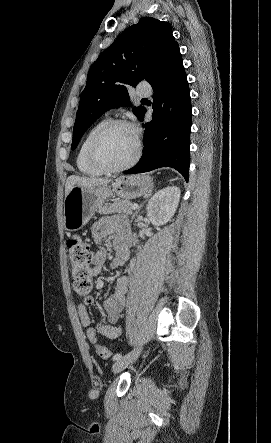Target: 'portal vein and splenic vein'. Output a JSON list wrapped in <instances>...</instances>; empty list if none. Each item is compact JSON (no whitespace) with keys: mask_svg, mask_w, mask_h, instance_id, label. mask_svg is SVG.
I'll return each mask as SVG.
<instances>
[{"mask_svg":"<svg viewBox=\"0 0 271 443\" xmlns=\"http://www.w3.org/2000/svg\"><path fill=\"white\" fill-rule=\"evenodd\" d=\"M137 208H139L138 204H133V206H131V210H137Z\"/></svg>","mask_w":271,"mask_h":443,"instance_id":"1","label":"portal vein and splenic vein"}]
</instances>
